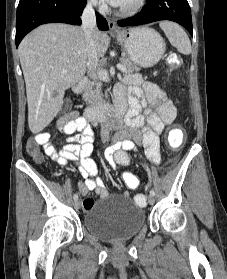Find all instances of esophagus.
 <instances>
[{
  "mask_svg": "<svg viewBox=\"0 0 227 279\" xmlns=\"http://www.w3.org/2000/svg\"><path fill=\"white\" fill-rule=\"evenodd\" d=\"M108 26H109L110 32H113V33L120 32V28L118 27V25L116 24L115 21L109 19L108 20Z\"/></svg>",
  "mask_w": 227,
  "mask_h": 279,
  "instance_id": "esophagus-1",
  "label": "esophagus"
}]
</instances>
